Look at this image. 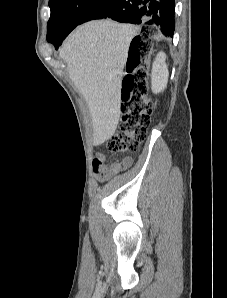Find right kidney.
Listing matches in <instances>:
<instances>
[{"label": "right kidney", "mask_w": 227, "mask_h": 298, "mask_svg": "<svg viewBox=\"0 0 227 298\" xmlns=\"http://www.w3.org/2000/svg\"><path fill=\"white\" fill-rule=\"evenodd\" d=\"M166 55L163 52L157 54L152 66L151 88L154 93L162 92L168 83L169 72L166 65Z\"/></svg>", "instance_id": "ca27d5eb"}]
</instances>
